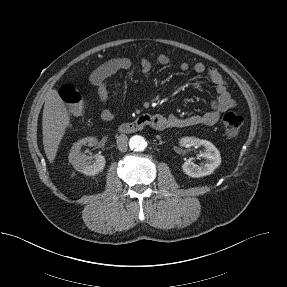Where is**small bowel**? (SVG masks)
<instances>
[{
  "label": "small bowel",
  "instance_id": "obj_1",
  "mask_svg": "<svg viewBox=\"0 0 287 287\" xmlns=\"http://www.w3.org/2000/svg\"><path fill=\"white\" fill-rule=\"evenodd\" d=\"M156 63L160 66H168L171 60L166 54H159L156 57ZM141 71L147 74L152 69L151 61L146 57L139 59ZM132 67V61L127 57L112 58L98 66L90 75V83L97 88L98 98L102 104L100 117L104 121H111L114 117L113 112L108 107V80L119 71H126ZM181 71L186 72L192 69L196 74L206 75L208 79L215 85L216 98L211 102L209 110L201 114H193L186 117H178L174 115L162 116L156 115L160 120L158 129L169 128H186L197 125H213L218 122L221 115L236 106V102L230 94L227 82L220 72L212 67L206 66L202 62H196L192 67L183 61L180 63Z\"/></svg>",
  "mask_w": 287,
  "mask_h": 287
}]
</instances>
